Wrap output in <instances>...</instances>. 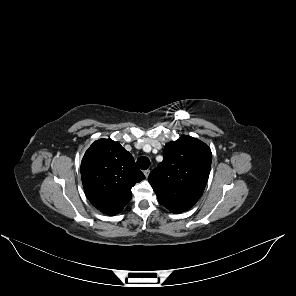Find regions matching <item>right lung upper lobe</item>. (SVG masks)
<instances>
[{"label":"right lung upper lobe","mask_w":296,"mask_h":296,"mask_svg":"<svg viewBox=\"0 0 296 296\" xmlns=\"http://www.w3.org/2000/svg\"><path fill=\"white\" fill-rule=\"evenodd\" d=\"M80 172L87 198L107 215L121 212L132 197L131 188L145 179L133 156L112 139H99L90 146Z\"/></svg>","instance_id":"1"}]
</instances>
